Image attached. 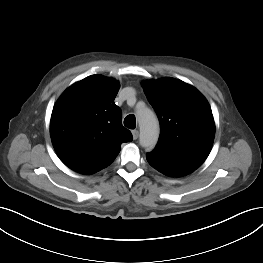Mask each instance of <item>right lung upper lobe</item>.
I'll list each match as a JSON object with an SVG mask.
<instances>
[{
	"mask_svg": "<svg viewBox=\"0 0 263 263\" xmlns=\"http://www.w3.org/2000/svg\"><path fill=\"white\" fill-rule=\"evenodd\" d=\"M119 82L92 75L70 86L56 102L50 122L54 149L72 170L93 174L109 166L120 146L132 141L114 103Z\"/></svg>",
	"mask_w": 263,
	"mask_h": 263,
	"instance_id": "obj_1",
	"label": "right lung upper lobe"
}]
</instances>
